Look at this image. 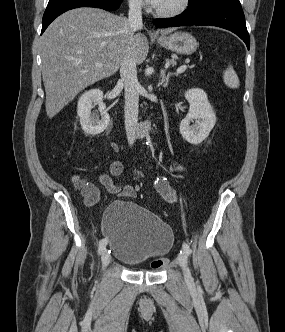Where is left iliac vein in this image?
<instances>
[{"mask_svg": "<svg viewBox=\"0 0 285 332\" xmlns=\"http://www.w3.org/2000/svg\"><path fill=\"white\" fill-rule=\"evenodd\" d=\"M177 262L183 270L184 278L187 283L191 284L193 279L190 273V269L188 267V259L186 253H180L177 257Z\"/></svg>", "mask_w": 285, "mask_h": 332, "instance_id": "1", "label": "left iliac vein"}]
</instances>
